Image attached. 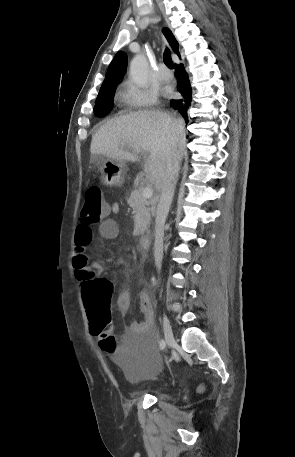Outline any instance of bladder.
<instances>
[{"instance_id": "31cf9c89", "label": "bladder", "mask_w": 295, "mask_h": 457, "mask_svg": "<svg viewBox=\"0 0 295 457\" xmlns=\"http://www.w3.org/2000/svg\"><path fill=\"white\" fill-rule=\"evenodd\" d=\"M158 338H126V347H132L129 351L121 370L125 379L133 385L140 384L152 378H166L167 367L159 364L160 359L155 351L158 347Z\"/></svg>"}]
</instances>
